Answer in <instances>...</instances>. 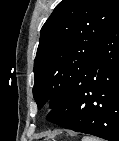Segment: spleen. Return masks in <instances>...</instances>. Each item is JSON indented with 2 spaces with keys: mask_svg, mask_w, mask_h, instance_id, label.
<instances>
[{
  "mask_svg": "<svg viewBox=\"0 0 119 141\" xmlns=\"http://www.w3.org/2000/svg\"><path fill=\"white\" fill-rule=\"evenodd\" d=\"M82 141H99V139H97L95 137H91V136H84L82 138Z\"/></svg>",
  "mask_w": 119,
  "mask_h": 141,
  "instance_id": "obj_1",
  "label": "spleen"
}]
</instances>
